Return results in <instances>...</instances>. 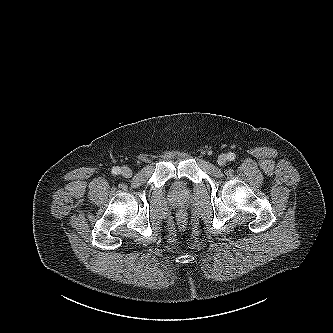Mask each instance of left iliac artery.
<instances>
[{"label":"left iliac artery","mask_w":333,"mask_h":333,"mask_svg":"<svg viewBox=\"0 0 333 333\" xmlns=\"http://www.w3.org/2000/svg\"><path fill=\"white\" fill-rule=\"evenodd\" d=\"M235 154L234 153H228V156H227V158H228V160L229 161H233L234 159H235Z\"/></svg>","instance_id":"left-iliac-artery-1"}]
</instances>
